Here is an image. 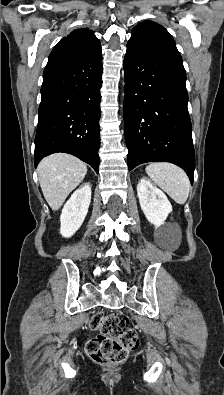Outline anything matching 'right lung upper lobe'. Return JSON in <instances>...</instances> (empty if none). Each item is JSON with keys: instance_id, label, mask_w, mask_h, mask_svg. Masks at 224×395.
<instances>
[{"instance_id": "obj_1", "label": "right lung upper lobe", "mask_w": 224, "mask_h": 395, "mask_svg": "<svg viewBox=\"0 0 224 395\" xmlns=\"http://www.w3.org/2000/svg\"><path fill=\"white\" fill-rule=\"evenodd\" d=\"M65 38L72 39L77 48L88 55H97L101 52L99 40L88 28L75 30Z\"/></svg>"}]
</instances>
